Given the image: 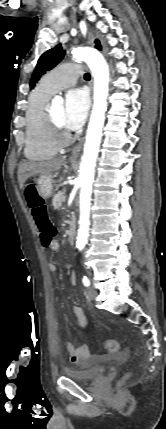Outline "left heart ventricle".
I'll list each match as a JSON object with an SVG mask.
<instances>
[{
  "label": "left heart ventricle",
  "mask_w": 166,
  "mask_h": 429,
  "mask_svg": "<svg viewBox=\"0 0 166 429\" xmlns=\"http://www.w3.org/2000/svg\"><path fill=\"white\" fill-rule=\"evenodd\" d=\"M50 112L59 128L63 131H67L63 125L64 106L62 104L54 105L50 108Z\"/></svg>",
  "instance_id": "obj_1"
}]
</instances>
